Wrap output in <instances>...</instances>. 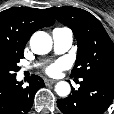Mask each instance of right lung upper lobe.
Masks as SVG:
<instances>
[{"instance_id":"cb5924a9","label":"right lung upper lobe","mask_w":114,"mask_h":114,"mask_svg":"<svg viewBox=\"0 0 114 114\" xmlns=\"http://www.w3.org/2000/svg\"><path fill=\"white\" fill-rule=\"evenodd\" d=\"M54 22L44 9L13 7L0 12V50L24 52L31 35Z\"/></svg>"}]
</instances>
